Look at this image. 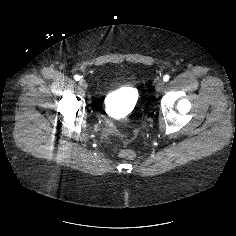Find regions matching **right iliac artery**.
Wrapping results in <instances>:
<instances>
[{
  "label": "right iliac artery",
  "mask_w": 236,
  "mask_h": 236,
  "mask_svg": "<svg viewBox=\"0 0 236 236\" xmlns=\"http://www.w3.org/2000/svg\"><path fill=\"white\" fill-rule=\"evenodd\" d=\"M80 78H81V77H80L79 75H75V76H74V79H75L76 81H79Z\"/></svg>",
  "instance_id": "obj_1"
}]
</instances>
